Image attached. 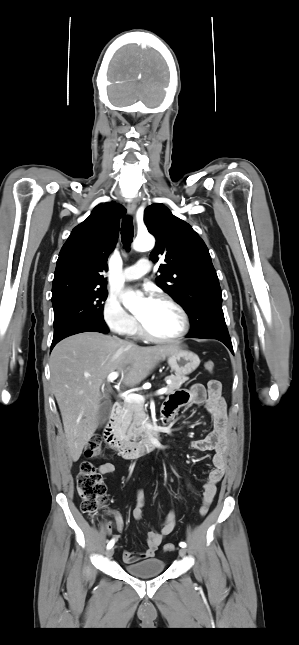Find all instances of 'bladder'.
<instances>
[{
	"label": "bladder",
	"instance_id": "1",
	"mask_svg": "<svg viewBox=\"0 0 299 645\" xmlns=\"http://www.w3.org/2000/svg\"><path fill=\"white\" fill-rule=\"evenodd\" d=\"M165 563L159 558H150L125 566V571L135 577H152L163 573Z\"/></svg>",
	"mask_w": 299,
	"mask_h": 645
}]
</instances>
